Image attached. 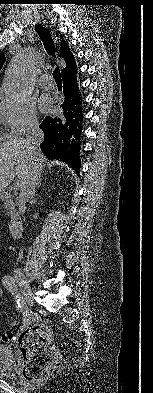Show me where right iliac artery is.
Returning a JSON list of instances; mask_svg holds the SVG:
<instances>
[{
  "label": "right iliac artery",
  "mask_w": 153,
  "mask_h": 393,
  "mask_svg": "<svg viewBox=\"0 0 153 393\" xmlns=\"http://www.w3.org/2000/svg\"><path fill=\"white\" fill-rule=\"evenodd\" d=\"M2 283L5 286V288L12 294H15V299L17 302V307L22 308L24 305V300L23 297L18 292V288L15 284V279L9 275H6L2 279Z\"/></svg>",
  "instance_id": "82829eb1"
}]
</instances>
